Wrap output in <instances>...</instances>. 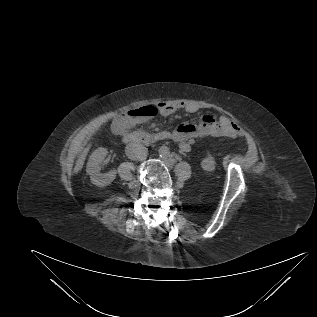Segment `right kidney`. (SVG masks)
<instances>
[{"label": "right kidney", "mask_w": 317, "mask_h": 317, "mask_svg": "<svg viewBox=\"0 0 317 317\" xmlns=\"http://www.w3.org/2000/svg\"><path fill=\"white\" fill-rule=\"evenodd\" d=\"M108 151L106 148L99 147L90 155L86 172L90 175L91 182L99 187L109 185L116 177V170H111L106 174L100 173L99 163L103 161Z\"/></svg>", "instance_id": "ca27d5eb"}]
</instances>
